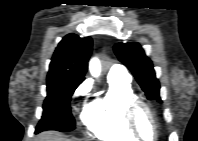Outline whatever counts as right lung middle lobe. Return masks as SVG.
<instances>
[{"label": "right lung middle lobe", "instance_id": "1", "mask_svg": "<svg viewBox=\"0 0 198 141\" xmlns=\"http://www.w3.org/2000/svg\"><path fill=\"white\" fill-rule=\"evenodd\" d=\"M81 82L80 80H47V97L36 133L44 130L64 132L75 128V120L70 111V100Z\"/></svg>", "mask_w": 198, "mask_h": 141}]
</instances>
